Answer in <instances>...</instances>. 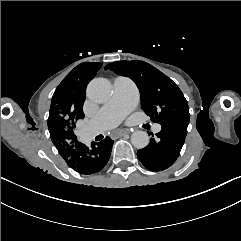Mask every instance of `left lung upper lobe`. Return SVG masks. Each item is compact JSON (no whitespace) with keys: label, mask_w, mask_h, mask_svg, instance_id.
I'll return each instance as SVG.
<instances>
[{"label":"left lung upper lobe","mask_w":241,"mask_h":241,"mask_svg":"<svg viewBox=\"0 0 241 241\" xmlns=\"http://www.w3.org/2000/svg\"><path fill=\"white\" fill-rule=\"evenodd\" d=\"M105 69L131 78L141 94V107L153 122H189V107L183 93L165 74L144 61H121Z\"/></svg>","instance_id":"obj_1"}]
</instances>
